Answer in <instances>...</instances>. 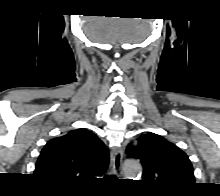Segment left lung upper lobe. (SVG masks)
Returning a JSON list of instances; mask_svg holds the SVG:
<instances>
[{
    "instance_id": "5c2ea615",
    "label": "left lung upper lobe",
    "mask_w": 220,
    "mask_h": 196,
    "mask_svg": "<svg viewBox=\"0 0 220 196\" xmlns=\"http://www.w3.org/2000/svg\"><path fill=\"white\" fill-rule=\"evenodd\" d=\"M127 152L140 159L143 181L162 193H179L195 183L188 156L160 135L148 132L140 136L137 146L129 145Z\"/></svg>"
}]
</instances>
